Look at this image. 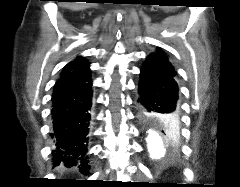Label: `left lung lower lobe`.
<instances>
[{"mask_svg":"<svg viewBox=\"0 0 240 187\" xmlns=\"http://www.w3.org/2000/svg\"><path fill=\"white\" fill-rule=\"evenodd\" d=\"M136 103L140 119L161 121L171 131L179 127L176 74L155 56L149 55L141 68Z\"/></svg>","mask_w":240,"mask_h":187,"instance_id":"obj_1","label":"left lung lower lobe"}]
</instances>
